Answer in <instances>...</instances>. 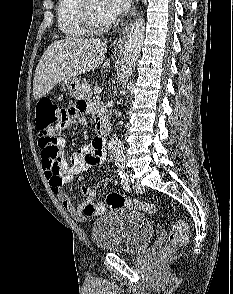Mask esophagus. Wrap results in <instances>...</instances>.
<instances>
[{
  "label": "esophagus",
  "instance_id": "esophagus-1",
  "mask_svg": "<svg viewBox=\"0 0 233 294\" xmlns=\"http://www.w3.org/2000/svg\"><path fill=\"white\" fill-rule=\"evenodd\" d=\"M136 7V4L134 6V9ZM129 29V23L126 24L125 28L123 29L122 33L113 41V46L114 47H121L124 44L126 34Z\"/></svg>",
  "mask_w": 233,
  "mask_h": 294
}]
</instances>
